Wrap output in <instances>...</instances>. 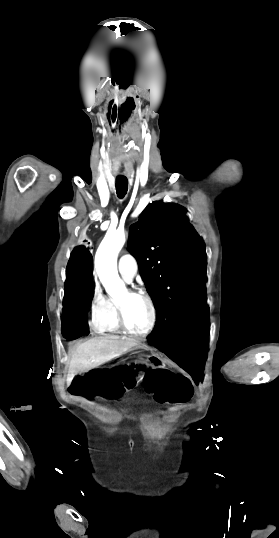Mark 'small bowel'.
Wrapping results in <instances>:
<instances>
[{"label": "small bowel", "instance_id": "1", "mask_svg": "<svg viewBox=\"0 0 279 538\" xmlns=\"http://www.w3.org/2000/svg\"><path fill=\"white\" fill-rule=\"evenodd\" d=\"M145 391L157 402L166 405L187 403L193 392L188 379L168 370H157L143 380Z\"/></svg>", "mask_w": 279, "mask_h": 538}]
</instances>
